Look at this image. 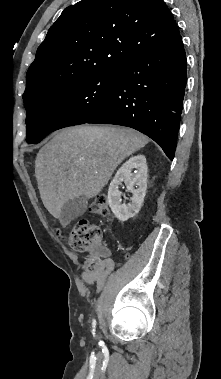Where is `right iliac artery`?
I'll return each instance as SVG.
<instances>
[{
	"label": "right iliac artery",
	"mask_w": 221,
	"mask_h": 379,
	"mask_svg": "<svg viewBox=\"0 0 221 379\" xmlns=\"http://www.w3.org/2000/svg\"><path fill=\"white\" fill-rule=\"evenodd\" d=\"M93 327H95V321H93Z\"/></svg>",
	"instance_id": "1"
}]
</instances>
